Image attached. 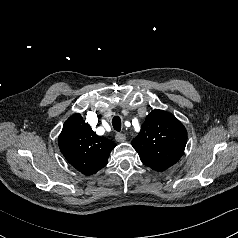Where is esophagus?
Returning <instances> with one entry per match:
<instances>
[{"mask_svg": "<svg viewBox=\"0 0 238 238\" xmlns=\"http://www.w3.org/2000/svg\"><path fill=\"white\" fill-rule=\"evenodd\" d=\"M115 139L117 142H124L126 140V136L123 133H117L115 135Z\"/></svg>", "mask_w": 238, "mask_h": 238, "instance_id": "esophagus-1", "label": "esophagus"}]
</instances>
